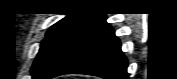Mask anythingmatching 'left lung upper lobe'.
<instances>
[{
    "label": "left lung upper lobe",
    "mask_w": 177,
    "mask_h": 79,
    "mask_svg": "<svg viewBox=\"0 0 177 79\" xmlns=\"http://www.w3.org/2000/svg\"><path fill=\"white\" fill-rule=\"evenodd\" d=\"M105 18L104 14H68L54 24L46 33L31 68L33 79H49L74 45Z\"/></svg>",
    "instance_id": "obj_1"
}]
</instances>
